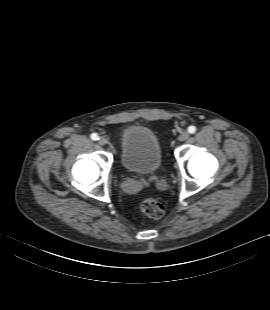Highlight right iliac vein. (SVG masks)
Masks as SVG:
<instances>
[{
	"mask_svg": "<svg viewBox=\"0 0 270 310\" xmlns=\"http://www.w3.org/2000/svg\"><path fill=\"white\" fill-rule=\"evenodd\" d=\"M98 143L103 146V145H105L107 143V140L104 137H100L98 139Z\"/></svg>",
	"mask_w": 270,
	"mask_h": 310,
	"instance_id": "obj_1",
	"label": "right iliac vein"
}]
</instances>
